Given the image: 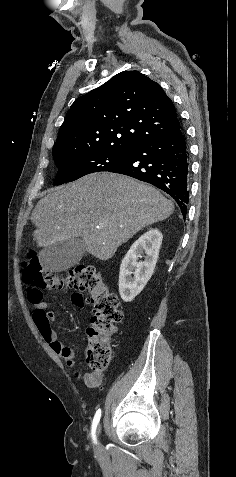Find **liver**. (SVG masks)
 <instances>
[{"instance_id": "liver-1", "label": "liver", "mask_w": 236, "mask_h": 477, "mask_svg": "<svg viewBox=\"0 0 236 477\" xmlns=\"http://www.w3.org/2000/svg\"><path fill=\"white\" fill-rule=\"evenodd\" d=\"M173 211L174 204L154 187L103 172L49 191L35 206L31 221L39 247L81 237L88 253L106 261L142 228Z\"/></svg>"}]
</instances>
